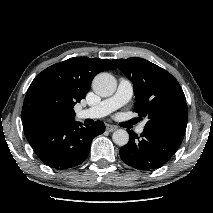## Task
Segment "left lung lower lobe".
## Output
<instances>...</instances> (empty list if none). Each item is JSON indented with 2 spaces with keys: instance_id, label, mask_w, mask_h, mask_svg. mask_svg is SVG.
I'll list each match as a JSON object with an SVG mask.
<instances>
[{
  "instance_id": "left-lung-lower-lobe-1",
  "label": "left lung lower lobe",
  "mask_w": 213,
  "mask_h": 213,
  "mask_svg": "<svg viewBox=\"0 0 213 213\" xmlns=\"http://www.w3.org/2000/svg\"><path fill=\"white\" fill-rule=\"evenodd\" d=\"M129 132V142L120 149V157L138 170L161 167L176 152L181 142L161 134L143 130L140 136Z\"/></svg>"
}]
</instances>
